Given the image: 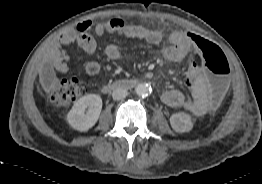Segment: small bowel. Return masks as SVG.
<instances>
[{"label": "small bowel", "instance_id": "small-bowel-1", "mask_svg": "<svg viewBox=\"0 0 262 184\" xmlns=\"http://www.w3.org/2000/svg\"><path fill=\"white\" fill-rule=\"evenodd\" d=\"M91 25L90 21H83L77 24L75 28L67 29L59 35L58 42L54 44L49 53L52 69L59 73H65L68 70L67 56L62 45L77 43L87 54L93 55L95 53L97 45L94 38L89 34ZM94 31L98 36L113 32L106 23L97 24ZM119 34L127 38L142 39L153 45L162 41V33L159 30L144 26H130ZM199 38L201 36L191 32L173 31L169 36L170 44L164 49V57L170 62H179L189 55L201 56L202 52L196 47ZM105 53L112 60L118 59L120 56L119 48L115 44L108 45ZM201 67V60L198 57H192L188 61V66L176 69L173 72V77L177 81H183L186 88H191L201 72ZM83 68L88 75H96L100 72L101 66L97 61L88 60L84 63ZM207 91L208 85L204 79H201L195 85L191 98H187L181 91L173 89L162 94V101L170 107L185 108L196 116H202L212 109L207 104Z\"/></svg>", "mask_w": 262, "mask_h": 184}]
</instances>
